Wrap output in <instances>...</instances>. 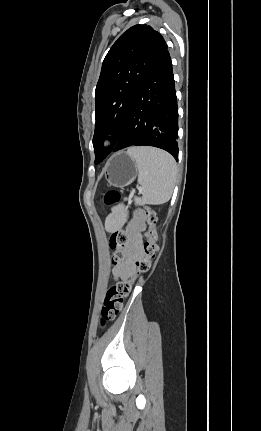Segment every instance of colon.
I'll use <instances>...</instances> for the list:
<instances>
[{"mask_svg":"<svg viewBox=\"0 0 261 431\" xmlns=\"http://www.w3.org/2000/svg\"><path fill=\"white\" fill-rule=\"evenodd\" d=\"M120 194L117 191H109L105 195V203L112 205L118 202ZM143 214L147 221V227L143 231V243L140 255L135 262V273L112 285L105 294L101 310L102 323L112 321L122 309L124 299L128 296L132 285L139 274L147 272L154 260L158 257L159 247L157 245L156 213L148 206L143 208ZM127 243V234L124 231L114 232L109 239V246L113 250L112 262L120 264L124 255L122 248Z\"/></svg>","mask_w":261,"mask_h":431,"instance_id":"obj_1","label":"colon"}]
</instances>
